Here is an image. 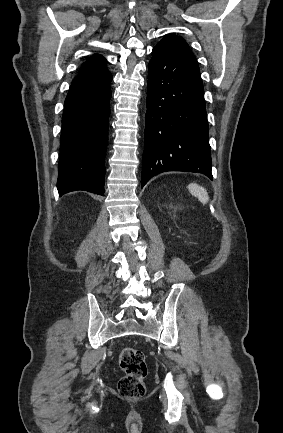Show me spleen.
<instances>
[{"mask_svg": "<svg viewBox=\"0 0 283 433\" xmlns=\"http://www.w3.org/2000/svg\"><path fill=\"white\" fill-rule=\"evenodd\" d=\"M188 190L191 192V194H193V196H197V198H199L200 202H203V204L208 202V192L206 188H203V186H199V184H196V182H190V184H188Z\"/></svg>", "mask_w": 283, "mask_h": 433, "instance_id": "obj_1", "label": "spleen"}]
</instances>
